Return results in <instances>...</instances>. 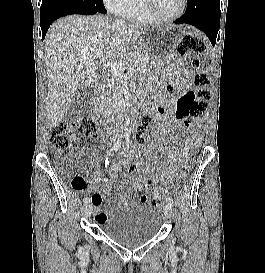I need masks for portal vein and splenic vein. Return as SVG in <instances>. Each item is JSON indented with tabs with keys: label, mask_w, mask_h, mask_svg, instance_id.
Listing matches in <instances>:
<instances>
[{
	"label": "portal vein and splenic vein",
	"mask_w": 265,
	"mask_h": 273,
	"mask_svg": "<svg viewBox=\"0 0 265 273\" xmlns=\"http://www.w3.org/2000/svg\"><path fill=\"white\" fill-rule=\"evenodd\" d=\"M101 58V54H97L94 59H100ZM107 66H109V68L114 72L115 75L118 76H123L124 72H125V67L123 65L122 62L120 61H113L111 63H109ZM128 73H132L135 71L134 67H129L127 69Z\"/></svg>",
	"instance_id": "18ae733b"
}]
</instances>
